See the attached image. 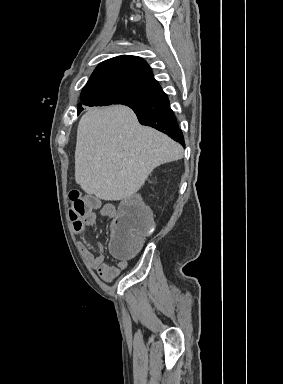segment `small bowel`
I'll list each match as a JSON object with an SVG mask.
<instances>
[{
    "label": "small bowel",
    "mask_w": 283,
    "mask_h": 384,
    "mask_svg": "<svg viewBox=\"0 0 283 384\" xmlns=\"http://www.w3.org/2000/svg\"><path fill=\"white\" fill-rule=\"evenodd\" d=\"M101 215L108 217V218H114L116 216V208L111 205L107 204L101 207L100 210ZM97 216L95 211L90 210L82 219L80 225L73 224V228L75 232H82L86 230L87 228L93 226L96 222ZM80 251L82 253L83 258L85 261L94 268L100 278L106 282L113 281L116 277H118L122 271H124L127 266L128 262L125 259H121L117 262L116 265H110L105 262V256L103 253V248L100 243H97V252L93 253L90 249H88L85 245L80 244L79 246Z\"/></svg>",
    "instance_id": "c3829d8e"
}]
</instances>
